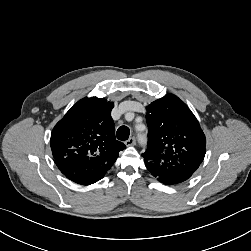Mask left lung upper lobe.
Returning <instances> with one entry per match:
<instances>
[{"label":"left lung upper lobe","instance_id":"5c2ea615","mask_svg":"<svg viewBox=\"0 0 251 251\" xmlns=\"http://www.w3.org/2000/svg\"><path fill=\"white\" fill-rule=\"evenodd\" d=\"M148 149L167 161L200 165L206 152L205 135L194 114L177 96L167 94L147 106Z\"/></svg>","mask_w":251,"mask_h":251}]
</instances>
